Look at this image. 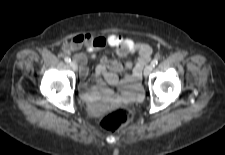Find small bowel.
Wrapping results in <instances>:
<instances>
[{
  "instance_id": "obj_1",
  "label": "small bowel",
  "mask_w": 225,
  "mask_h": 155,
  "mask_svg": "<svg viewBox=\"0 0 225 155\" xmlns=\"http://www.w3.org/2000/svg\"><path fill=\"white\" fill-rule=\"evenodd\" d=\"M105 47L114 48L116 53L121 57L132 53H138L139 57L136 61H129L125 65L116 60L101 57L100 64L95 70V86L87 88L86 84H82L84 90L83 97L86 100L92 101L103 95L113 103L138 99L141 96L140 80L142 67L150 60L151 56V48L147 44L115 34L108 36L77 34L65 42L62 49L65 54L71 55L73 52L83 48L91 59H97L98 52ZM74 59L80 65L81 77L86 79L88 76L86 55L79 53L74 56ZM125 70H131L132 72L119 79L118 73ZM115 85H119L121 88L119 94L112 93L109 88Z\"/></svg>"
}]
</instances>
